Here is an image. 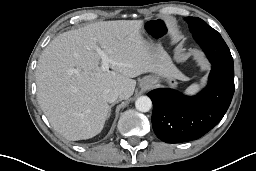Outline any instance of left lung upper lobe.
<instances>
[{
  "mask_svg": "<svg viewBox=\"0 0 256 171\" xmlns=\"http://www.w3.org/2000/svg\"><path fill=\"white\" fill-rule=\"evenodd\" d=\"M185 20L189 24V29L192 33H208L212 35H218L219 33L211 28L202 19L197 17H186Z\"/></svg>",
  "mask_w": 256,
  "mask_h": 171,
  "instance_id": "obj_1",
  "label": "left lung upper lobe"
}]
</instances>
